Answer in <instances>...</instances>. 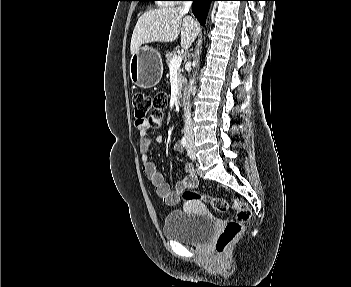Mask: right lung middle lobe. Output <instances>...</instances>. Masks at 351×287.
Listing matches in <instances>:
<instances>
[{
    "label": "right lung middle lobe",
    "mask_w": 351,
    "mask_h": 287,
    "mask_svg": "<svg viewBox=\"0 0 351 287\" xmlns=\"http://www.w3.org/2000/svg\"><path fill=\"white\" fill-rule=\"evenodd\" d=\"M138 1H153V0H138Z\"/></svg>",
    "instance_id": "dd1d6c3e"
}]
</instances>
